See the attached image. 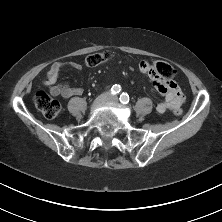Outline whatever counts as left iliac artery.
Instances as JSON below:
<instances>
[{
  "instance_id": "obj_1",
  "label": "left iliac artery",
  "mask_w": 222,
  "mask_h": 222,
  "mask_svg": "<svg viewBox=\"0 0 222 222\" xmlns=\"http://www.w3.org/2000/svg\"><path fill=\"white\" fill-rule=\"evenodd\" d=\"M120 102L122 104H128V102H129V95L127 93H122L120 95Z\"/></svg>"
}]
</instances>
